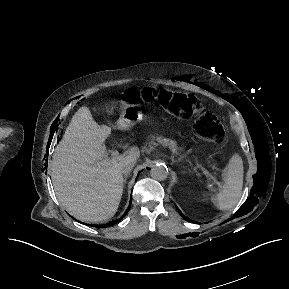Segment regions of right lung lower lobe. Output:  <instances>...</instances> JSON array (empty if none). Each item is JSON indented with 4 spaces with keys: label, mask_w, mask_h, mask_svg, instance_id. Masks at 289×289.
Returning a JSON list of instances; mask_svg holds the SVG:
<instances>
[{
    "label": "right lung lower lobe",
    "mask_w": 289,
    "mask_h": 289,
    "mask_svg": "<svg viewBox=\"0 0 289 289\" xmlns=\"http://www.w3.org/2000/svg\"><path fill=\"white\" fill-rule=\"evenodd\" d=\"M129 209H130V206L128 207L127 211L124 213V215H123L120 219H117V220H115V221H112V222H110V223H108V224H105V225H103V226H101V227H109V226L115 225L117 222H119V221L127 214V212L129 211Z\"/></svg>",
    "instance_id": "1"
}]
</instances>
